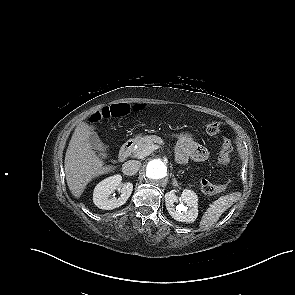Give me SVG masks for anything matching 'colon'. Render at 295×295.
Segmentation results:
<instances>
[{
    "instance_id": "5ec220e1",
    "label": "colon",
    "mask_w": 295,
    "mask_h": 295,
    "mask_svg": "<svg viewBox=\"0 0 295 295\" xmlns=\"http://www.w3.org/2000/svg\"><path fill=\"white\" fill-rule=\"evenodd\" d=\"M142 108L143 106L141 104H135L133 106L126 103L114 104L109 107H105L101 111L95 112L91 116V121L97 122L106 118L123 117L129 114L131 111H138ZM206 131L209 135L213 136L219 142L220 151L218 155V164L222 167L227 166L230 162V154L232 150L230 141L227 136V130L221 124L211 121L207 123ZM225 188V184H216L208 180H202L201 182V190L204 194L207 195L220 193L224 191Z\"/></svg>"
}]
</instances>
